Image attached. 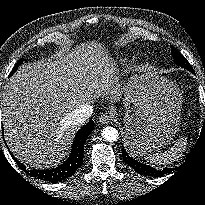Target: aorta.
Masks as SVG:
<instances>
[{"label":"aorta","mask_w":205,"mask_h":205,"mask_svg":"<svg viewBox=\"0 0 205 205\" xmlns=\"http://www.w3.org/2000/svg\"><path fill=\"white\" fill-rule=\"evenodd\" d=\"M102 135L106 141L111 142V143L117 141L119 138L118 130L111 126L106 127L103 130Z\"/></svg>","instance_id":"762f6f07"}]
</instances>
